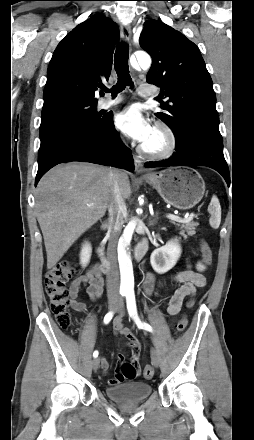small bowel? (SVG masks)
Returning <instances> with one entry per match:
<instances>
[{
	"mask_svg": "<svg viewBox=\"0 0 254 440\" xmlns=\"http://www.w3.org/2000/svg\"><path fill=\"white\" fill-rule=\"evenodd\" d=\"M205 268L206 265L202 261H198L195 265V269H191L188 265L186 269L177 272L170 277L172 282L180 284L179 288L173 293L169 301L168 313L171 316H176L180 312L185 298H190L187 302V306L191 307L193 305V298L197 289L204 287L207 283L203 274ZM163 284L164 281L157 280L154 274L147 272L143 279L144 294L148 297L151 296L158 288L163 286ZM82 287H86V291L93 301H97L101 298L103 293V280L97 265L92 266L85 274L77 277L70 284V303L72 308L78 312H85L87 310L86 305L77 300L79 291ZM113 328L117 335L126 339L130 352V362L138 370L141 353V343L139 339L130 329L124 326L120 317L114 319ZM123 362L124 356L120 354L115 376L108 381L109 386H116L125 381L121 370ZM101 365L104 371L107 370L108 362L106 359H102Z\"/></svg>",
	"mask_w": 254,
	"mask_h": 440,
	"instance_id": "c3829d8e",
	"label": "small bowel"
}]
</instances>
